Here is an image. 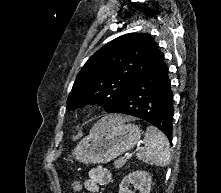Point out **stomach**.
Returning <instances> with one entry per match:
<instances>
[{
    "instance_id": "stomach-1",
    "label": "stomach",
    "mask_w": 221,
    "mask_h": 193,
    "mask_svg": "<svg viewBox=\"0 0 221 193\" xmlns=\"http://www.w3.org/2000/svg\"><path fill=\"white\" fill-rule=\"evenodd\" d=\"M140 138L141 130L135 124L124 122L105 127L99 122L75 147L73 156L85 164L107 163L132 149Z\"/></svg>"
}]
</instances>
